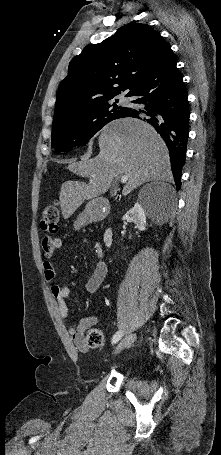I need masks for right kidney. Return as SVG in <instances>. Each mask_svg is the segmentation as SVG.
<instances>
[{"mask_svg":"<svg viewBox=\"0 0 221 455\" xmlns=\"http://www.w3.org/2000/svg\"><path fill=\"white\" fill-rule=\"evenodd\" d=\"M122 219L134 222L140 231L146 230L145 211L139 203H135L134 206L126 212Z\"/></svg>","mask_w":221,"mask_h":455,"instance_id":"1","label":"right kidney"}]
</instances>
